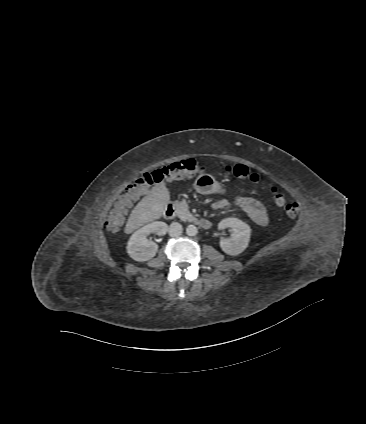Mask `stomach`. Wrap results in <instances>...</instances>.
<instances>
[{
    "instance_id": "obj_1",
    "label": "stomach",
    "mask_w": 366,
    "mask_h": 424,
    "mask_svg": "<svg viewBox=\"0 0 366 424\" xmlns=\"http://www.w3.org/2000/svg\"><path fill=\"white\" fill-rule=\"evenodd\" d=\"M193 188L203 195L223 193L222 185L210 174H200L194 181Z\"/></svg>"
}]
</instances>
